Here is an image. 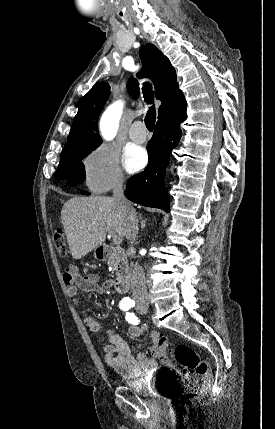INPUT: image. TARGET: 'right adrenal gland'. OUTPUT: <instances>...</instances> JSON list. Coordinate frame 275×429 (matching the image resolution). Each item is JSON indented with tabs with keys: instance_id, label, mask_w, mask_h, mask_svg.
Listing matches in <instances>:
<instances>
[{
	"instance_id": "1",
	"label": "right adrenal gland",
	"mask_w": 275,
	"mask_h": 429,
	"mask_svg": "<svg viewBox=\"0 0 275 429\" xmlns=\"http://www.w3.org/2000/svg\"><path fill=\"white\" fill-rule=\"evenodd\" d=\"M139 219H140L141 229L144 230L145 224H146V220H143V217H142L141 214H139Z\"/></svg>"
}]
</instances>
